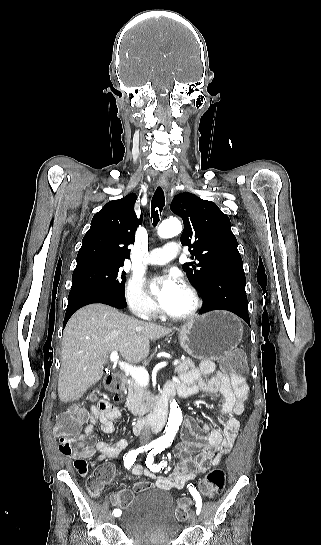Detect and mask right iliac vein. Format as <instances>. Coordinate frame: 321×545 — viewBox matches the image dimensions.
Segmentation results:
<instances>
[{
  "label": "right iliac vein",
  "mask_w": 321,
  "mask_h": 545,
  "mask_svg": "<svg viewBox=\"0 0 321 545\" xmlns=\"http://www.w3.org/2000/svg\"><path fill=\"white\" fill-rule=\"evenodd\" d=\"M108 520H109L111 523H113V522L115 521V517H114V515H113L112 513L109 514Z\"/></svg>",
  "instance_id": "63e3f726"
}]
</instances>
